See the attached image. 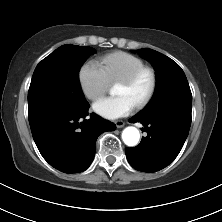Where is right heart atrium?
Returning a JSON list of instances; mask_svg holds the SVG:
<instances>
[{"mask_svg":"<svg viewBox=\"0 0 222 222\" xmlns=\"http://www.w3.org/2000/svg\"><path fill=\"white\" fill-rule=\"evenodd\" d=\"M78 76L83 94L91 101L104 95L109 88L110 81L101 65L95 60L85 62Z\"/></svg>","mask_w":222,"mask_h":222,"instance_id":"d8ad5b80","label":"right heart atrium"}]
</instances>
